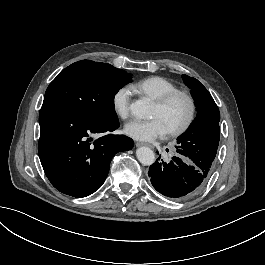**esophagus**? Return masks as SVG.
<instances>
[{
    "label": "esophagus",
    "mask_w": 265,
    "mask_h": 265,
    "mask_svg": "<svg viewBox=\"0 0 265 265\" xmlns=\"http://www.w3.org/2000/svg\"><path fill=\"white\" fill-rule=\"evenodd\" d=\"M136 146H137V147H140V146H146V147H149V148H151V149H154V146H153V145L148 144V143H145V142H137V143H136Z\"/></svg>",
    "instance_id": "1"
}]
</instances>
